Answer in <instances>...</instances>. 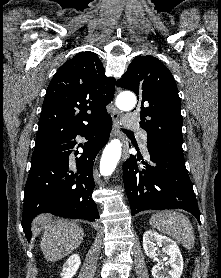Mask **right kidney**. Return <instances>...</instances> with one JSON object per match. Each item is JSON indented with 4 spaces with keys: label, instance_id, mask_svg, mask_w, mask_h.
I'll use <instances>...</instances> for the list:
<instances>
[{
    "label": "right kidney",
    "instance_id": "1",
    "mask_svg": "<svg viewBox=\"0 0 221 278\" xmlns=\"http://www.w3.org/2000/svg\"><path fill=\"white\" fill-rule=\"evenodd\" d=\"M80 264L81 260L77 254L70 256L63 266L61 277L72 278L76 274L78 268L80 267Z\"/></svg>",
    "mask_w": 221,
    "mask_h": 278
}]
</instances>
